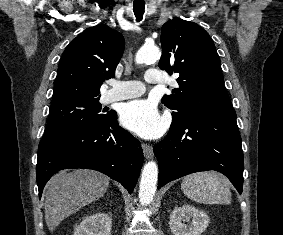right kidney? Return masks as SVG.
Returning a JSON list of instances; mask_svg holds the SVG:
<instances>
[{"label": "right kidney", "instance_id": "obj_1", "mask_svg": "<svg viewBox=\"0 0 283 235\" xmlns=\"http://www.w3.org/2000/svg\"><path fill=\"white\" fill-rule=\"evenodd\" d=\"M112 221L105 213L86 216L74 229L73 235H111Z\"/></svg>", "mask_w": 283, "mask_h": 235}]
</instances>
